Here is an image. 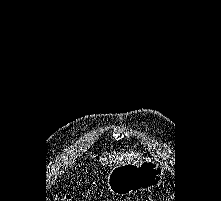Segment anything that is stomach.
<instances>
[{"mask_svg": "<svg viewBox=\"0 0 221 201\" xmlns=\"http://www.w3.org/2000/svg\"><path fill=\"white\" fill-rule=\"evenodd\" d=\"M165 171L151 159L116 165L107 176V185L114 195H130L159 185Z\"/></svg>", "mask_w": 221, "mask_h": 201, "instance_id": "stomach-1", "label": "stomach"}]
</instances>
